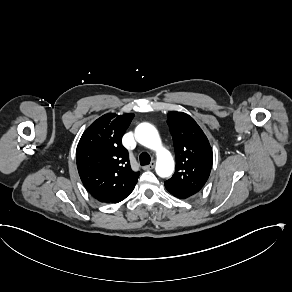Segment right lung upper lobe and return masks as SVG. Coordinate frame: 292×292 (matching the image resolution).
<instances>
[{
	"label": "right lung upper lobe",
	"mask_w": 292,
	"mask_h": 292,
	"mask_svg": "<svg viewBox=\"0 0 292 292\" xmlns=\"http://www.w3.org/2000/svg\"><path fill=\"white\" fill-rule=\"evenodd\" d=\"M134 114L110 113L95 120L77 145L79 176L88 192L103 203H118L133 191L139 172L130 167L122 136Z\"/></svg>",
	"instance_id": "cb5924a9"
}]
</instances>
